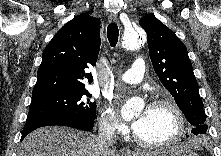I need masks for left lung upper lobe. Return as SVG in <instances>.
<instances>
[{
	"label": "left lung upper lobe",
	"instance_id": "left-lung-upper-lobe-1",
	"mask_svg": "<svg viewBox=\"0 0 221 156\" xmlns=\"http://www.w3.org/2000/svg\"><path fill=\"white\" fill-rule=\"evenodd\" d=\"M140 26L147 33L149 55L161 83L193 125L191 132L205 133L206 115L185 45L153 15L142 17Z\"/></svg>",
	"mask_w": 221,
	"mask_h": 156
}]
</instances>
